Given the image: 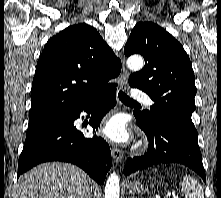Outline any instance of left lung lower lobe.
I'll list each match as a JSON object with an SVG mask.
<instances>
[{"label":"left lung lower lobe","mask_w":221,"mask_h":198,"mask_svg":"<svg viewBox=\"0 0 221 198\" xmlns=\"http://www.w3.org/2000/svg\"><path fill=\"white\" fill-rule=\"evenodd\" d=\"M134 115L149 139L148 152L141 157L128 158L125 175L156 164L179 163L194 170L206 183L197 131L168 122H149L137 113Z\"/></svg>","instance_id":"0a47b994"}]
</instances>
